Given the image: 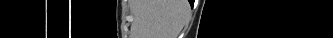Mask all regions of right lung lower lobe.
<instances>
[{"label":"right lung lower lobe","mask_w":333,"mask_h":38,"mask_svg":"<svg viewBox=\"0 0 333 38\" xmlns=\"http://www.w3.org/2000/svg\"><path fill=\"white\" fill-rule=\"evenodd\" d=\"M189 2H190V4H191V6H192V5H193V1L189 0Z\"/></svg>","instance_id":"right-lung-lower-lobe-1"}]
</instances>
